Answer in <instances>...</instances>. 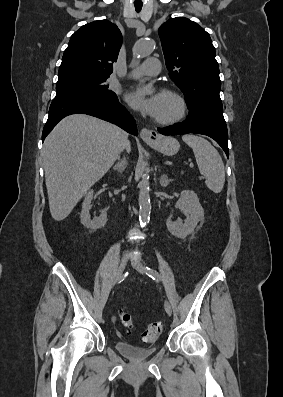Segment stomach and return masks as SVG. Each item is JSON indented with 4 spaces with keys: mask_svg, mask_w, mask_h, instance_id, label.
<instances>
[{
    "mask_svg": "<svg viewBox=\"0 0 283 397\" xmlns=\"http://www.w3.org/2000/svg\"><path fill=\"white\" fill-rule=\"evenodd\" d=\"M147 144L166 156H173L180 149L179 142L173 137H159L155 141H147Z\"/></svg>",
    "mask_w": 283,
    "mask_h": 397,
    "instance_id": "obj_1",
    "label": "stomach"
}]
</instances>
